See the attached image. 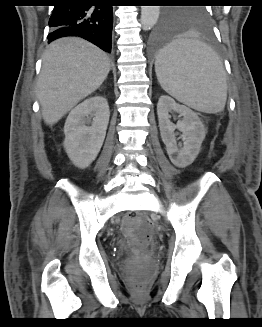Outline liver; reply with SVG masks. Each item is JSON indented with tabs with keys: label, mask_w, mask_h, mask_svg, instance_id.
Returning <instances> with one entry per match:
<instances>
[{
	"label": "liver",
	"mask_w": 262,
	"mask_h": 327,
	"mask_svg": "<svg viewBox=\"0 0 262 327\" xmlns=\"http://www.w3.org/2000/svg\"><path fill=\"white\" fill-rule=\"evenodd\" d=\"M109 71V57L93 44L76 37L52 42L43 54L37 83L44 122L57 123L98 89Z\"/></svg>",
	"instance_id": "obj_1"
}]
</instances>
